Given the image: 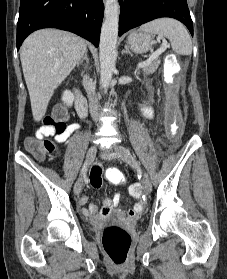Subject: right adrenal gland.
<instances>
[{"mask_svg": "<svg viewBox=\"0 0 227 279\" xmlns=\"http://www.w3.org/2000/svg\"><path fill=\"white\" fill-rule=\"evenodd\" d=\"M84 61H86V66L85 69L88 68V65L90 64V59L88 57V50L85 51L84 57H82V59L77 63V66L79 67V65H81Z\"/></svg>", "mask_w": 227, "mask_h": 279, "instance_id": "1", "label": "right adrenal gland"}]
</instances>
